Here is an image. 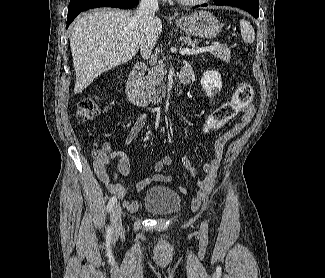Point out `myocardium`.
I'll return each mask as SVG.
<instances>
[{
  "label": "myocardium",
  "instance_id": "myocardium-1",
  "mask_svg": "<svg viewBox=\"0 0 325 278\" xmlns=\"http://www.w3.org/2000/svg\"><path fill=\"white\" fill-rule=\"evenodd\" d=\"M179 3L182 5H187V6H200L203 4L208 3L211 0H177Z\"/></svg>",
  "mask_w": 325,
  "mask_h": 278
}]
</instances>
